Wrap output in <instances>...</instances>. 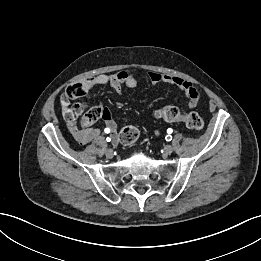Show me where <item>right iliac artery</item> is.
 Listing matches in <instances>:
<instances>
[{
    "instance_id": "1",
    "label": "right iliac artery",
    "mask_w": 261,
    "mask_h": 261,
    "mask_svg": "<svg viewBox=\"0 0 261 261\" xmlns=\"http://www.w3.org/2000/svg\"><path fill=\"white\" fill-rule=\"evenodd\" d=\"M105 132L109 133L110 131H109V129L106 128V129H105ZM106 141H107V142H110V141H111V138L107 137V138H106Z\"/></svg>"
}]
</instances>
